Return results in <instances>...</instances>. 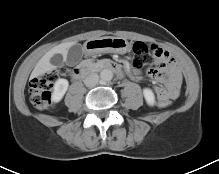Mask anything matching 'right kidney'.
<instances>
[{
    "mask_svg": "<svg viewBox=\"0 0 219 174\" xmlns=\"http://www.w3.org/2000/svg\"><path fill=\"white\" fill-rule=\"evenodd\" d=\"M69 86V82L66 79H58L53 87L52 101L59 102L65 95Z\"/></svg>",
    "mask_w": 219,
    "mask_h": 174,
    "instance_id": "right-kidney-1",
    "label": "right kidney"
}]
</instances>
